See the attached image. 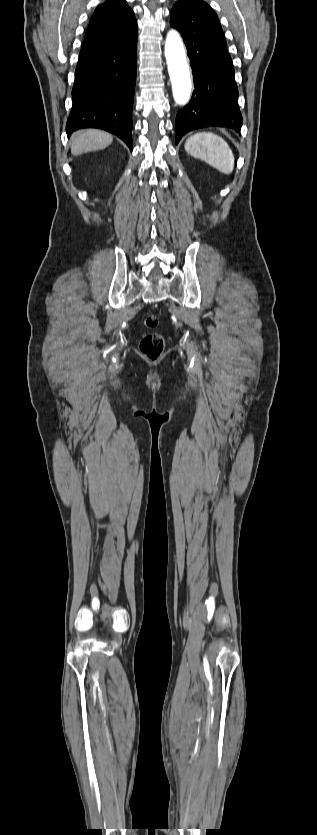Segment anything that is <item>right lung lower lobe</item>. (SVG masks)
Instances as JSON below:
<instances>
[{
  "label": "right lung lower lobe",
  "mask_w": 317,
  "mask_h": 835,
  "mask_svg": "<svg viewBox=\"0 0 317 835\" xmlns=\"http://www.w3.org/2000/svg\"><path fill=\"white\" fill-rule=\"evenodd\" d=\"M137 34L115 45H82L72 89L68 137L81 128H99L120 137L132 150V106L136 80Z\"/></svg>",
  "instance_id": "right-lung-lower-lobe-1"
}]
</instances>
